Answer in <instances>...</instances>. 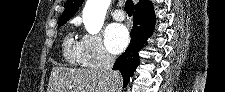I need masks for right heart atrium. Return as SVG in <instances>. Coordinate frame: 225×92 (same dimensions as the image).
Listing matches in <instances>:
<instances>
[{
  "label": "right heart atrium",
  "instance_id": "1",
  "mask_svg": "<svg viewBox=\"0 0 225 92\" xmlns=\"http://www.w3.org/2000/svg\"><path fill=\"white\" fill-rule=\"evenodd\" d=\"M111 59L101 37L84 33L78 41V61L84 67H99Z\"/></svg>",
  "mask_w": 225,
  "mask_h": 92
}]
</instances>
